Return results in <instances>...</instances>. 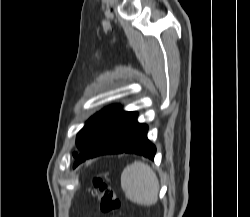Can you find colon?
<instances>
[{
	"instance_id": "5ec220e1",
	"label": "colon",
	"mask_w": 250,
	"mask_h": 217,
	"mask_svg": "<svg viewBox=\"0 0 250 217\" xmlns=\"http://www.w3.org/2000/svg\"><path fill=\"white\" fill-rule=\"evenodd\" d=\"M93 185L101 212L110 217H121L122 202L114 188L100 178H95Z\"/></svg>"
}]
</instances>
